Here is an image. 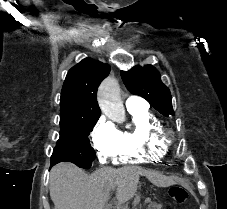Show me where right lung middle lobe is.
Here are the masks:
<instances>
[{
  "instance_id": "right-lung-middle-lobe-1",
  "label": "right lung middle lobe",
  "mask_w": 227,
  "mask_h": 209,
  "mask_svg": "<svg viewBox=\"0 0 227 209\" xmlns=\"http://www.w3.org/2000/svg\"><path fill=\"white\" fill-rule=\"evenodd\" d=\"M99 116L60 117V138L51 156V166L67 161L80 168L89 169L95 159L94 149L90 146L89 134Z\"/></svg>"
}]
</instances>
